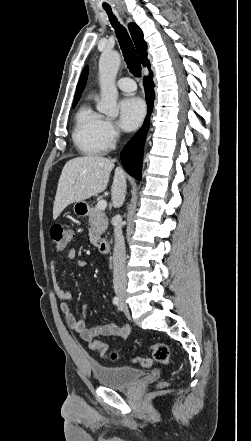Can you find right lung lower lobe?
I'll use <instances>...</instances> for the list:
<instances>
[{
    "label": "right lung lower lobe",
    "mask_w": 251,
    "mask_h": 441,
    "mask_svg": "<svg viewBox=\"0 0 251 441\" xmlns=\"http://www.w3.org/2000/svg\"><path fill=\"white\" fill-rule=\"evenodd\" d=\"M145 97L148 105V112L153 108L155 98L154 82L152 80V71L149 76L144 77ZM149 127V117L146 118L143 127L129 140L121 152V161L126 172L131 176L141 180V164L143 156V146Z\"/></svg>",
    "instance_id": "98d812e1"
}]
</instances>
